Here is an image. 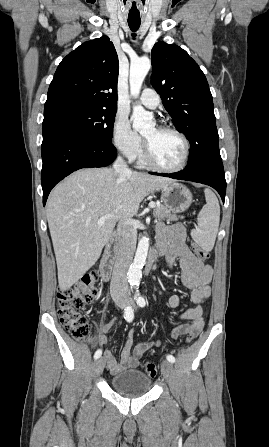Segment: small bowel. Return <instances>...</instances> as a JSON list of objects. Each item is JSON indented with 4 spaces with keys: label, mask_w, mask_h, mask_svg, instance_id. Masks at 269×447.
I'll use <instances>...</instances> for the list:
<instances>
[{
    "label": "small bowel",
    "mask_w": 269,
    "mask_h": 447,
    "mask_svg": "<svg viewBox=\"0 0 269 447\" xmlns=\"http://www.w3.org/2000/svg\"><path fill=\"white\" fill-rule=\"evenodd\" d=\"M157 249L166 252L168 266L173 268L176 261H179L181 268V285L191 290V300L194 307L184 311L178 319L191 321V326L182 324L171 334L172 339L179 338L188 332L192 327L204 326V303L211 294V281L213 271L211 266L200 261L189 249L186 243V229L181 224L172 226L160 225L157 231ZM182 304L181 297L177 294L171 295L168 305L177 308ZM116 319L112 318L100 328L97 338L98 344H106L109 341L108 333L115 327ZM137 332L132 328L127 336L126 343L122 349L120 360L117 361L110 351L105 352L104 357L108 362L109 369L113 373H118L129 368L140 365V359L144 353L152 347L159 346L160 342H135Z\"/></svg>",
    "instance_id": "1"
}]
</instances>
